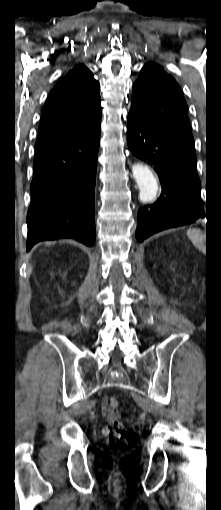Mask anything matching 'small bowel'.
<instances>
[{
    "mask_svg": "<svg viewBox=\"0 0 221 510\" xmlns=\"http://www.w3.org/2000/svg\"><path fill=\"white\" fill-rule=\"evenodd\" d=\"M102 412L107 417L109 413V399L104 397L102 400Z\"/></svg>",
    "mask_w": 221,
    "mask_h": 510,
    "instance_id": "obj_1",
    "label": "small bowel"
}]
</instances>
